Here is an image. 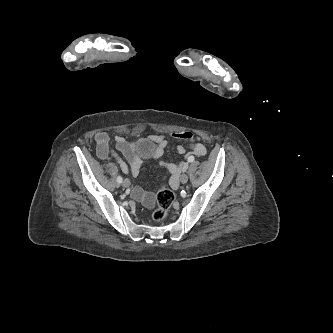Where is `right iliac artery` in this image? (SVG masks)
Listing matches in <instances>:
<instances>
[{
  "label": "right iliac artery",
  "mask_w": 333,
  "mask_h": 333,
  "mask_svg": "<svg viewBox=\"0 0 333 333\" xmlns=\"http://www.w3.org/2000/svg\"><path fill=\"white\" fill-rule=\"evenodd\" d=\"M117 183H118V184H121V183H122V177H121V176H118V177H117Z\"/></svg>",
  "instance_id": "1"
}]
</instances>
